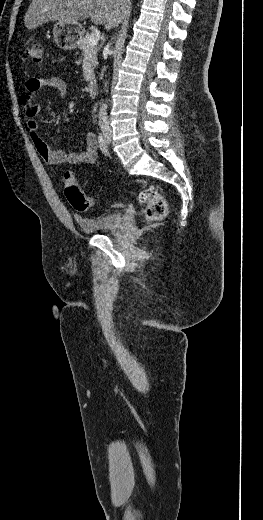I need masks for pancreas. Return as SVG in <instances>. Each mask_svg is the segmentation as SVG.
I'll list each match as a JSON object with an SVG mask.
<instances>
[{
  "mask_svg": "<svg viewBox=\"0 0 263 520\" xmlns=\"http://www.w3.org/2000/svg\"><path fill=\"white\" fill-rule=\"evenodd\" d=\"M90 34L82 36L79 42V49L82 50L83 56V76L86 81H91L95 78L94 69L98 65V46L89 44Z\"/></svg>",
  "mask_w": 263,
  "mask_h": 520,
  "instance_id": "obj_1",
  "label": "pancreas"
}]
</instances>
